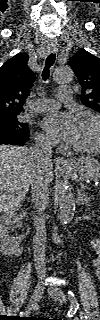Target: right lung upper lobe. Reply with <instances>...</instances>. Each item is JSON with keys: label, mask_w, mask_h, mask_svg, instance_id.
I'll return each instance as SVG.
<instances>
[{"label": "right lung upper lobe", "mask_w": 100, "mask_h": 320, "mask_svg": "<svg viewBox=\"0 0 100 320\" xmlns=\"http://www.w3.org/2000/svg\"><path fill=\"white\" fill-rule=\"evenodd\" d=\"M28 59L26 53H18L0 68V119L18 117L22 112L35 78Z\"/></svg>", "instance_id": "1"}]
</instances>
